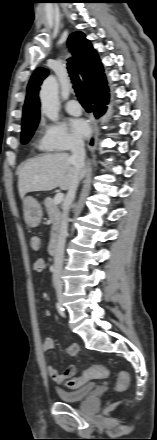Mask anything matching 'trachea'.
<instances>
[{
	"instance_id": "trachea-1",
	"label": "trachea",
	"mask_w": 157,
	"mask_h": 440,
	"mask_svg": "<svg viewBox=\"0 0 157 440\" xmlns=\"http://www.w3.org/2000/svg\"><path fill=\"white\" fill-rule=\"evenodd\" d=\"M68 71L73 83V88L76 92V95L80 101V103L82 104V106L86 109L87 112H91L92 110V105L88 96V93L83 85V83L81 82L78 73H77V69L75 66V63L73 61V59L69 58L68 59Z\"/></svg>"
}]
</instances>
